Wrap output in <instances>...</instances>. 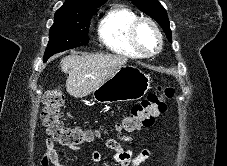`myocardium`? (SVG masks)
<instances>
[{"instance_id":"f54148a6","label":"myocardium","mask_w":227,"mask_h":166,"mask_svg":"<svg viewBox=\"0 0 227 166\" xmlns=\"http://www.w3.org/2000/svg\"><path fill=\"white\" fill-rule=\"evenodd\" d=\"M142 23L148 24L153 29L154 33L157 36L158 43H157L156 48L153 51H145L141 47V45L137 39V28ZM128 38H129V41H130V44L132 45V47L141 56H153V55L157 54L163 46L162 33H161L158 25L156 24V22L149 17H137L136 19H134L128 28Z\"/></svg>"}]
</instances>
